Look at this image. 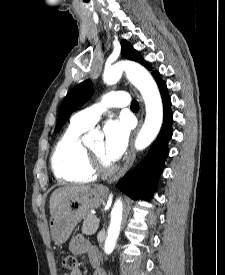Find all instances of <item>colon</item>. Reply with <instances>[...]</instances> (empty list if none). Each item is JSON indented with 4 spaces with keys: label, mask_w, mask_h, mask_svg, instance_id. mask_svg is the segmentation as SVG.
<instances>
[{
    "label": "colon",
    "mask_w": 225,
    "mask_h": 275,
    "mask_svg": "<svg viewBox=\"0 0 225 275\" xmlns=\"http://www.w3.org/2000/svg\"><path fill=\"white\" fill-rule=\"evenodd\" d=\"M62 265H63L64 269H66L70 272L76 271L78 268L77 260L72 255H65L62 260Z\"/></svg>",
    "instance_id": "colon-1"
}]
</instances>
